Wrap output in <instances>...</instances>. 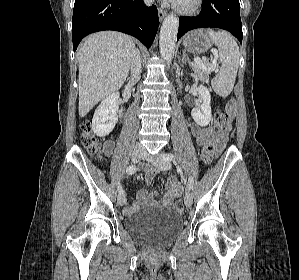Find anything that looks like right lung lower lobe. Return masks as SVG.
<instances>
[{
    "label": "right lung lower lobe",
    "instance_id": "98d812e1",
    "mask_svg": "<svg viewBox=\"0 0 299 280\" xmlns=\"http://www.w3.org/2000/svg\"><path fill=\"white\" fill-rule=\"evenodd\" d=\"M159 26L156 6L143 0H75L72 18L73 49L88 34L115 30L136 37L150 47Z\"/></svg>",
    "mask_w": 299,
    "mask_h": 280
}]
</instances>
